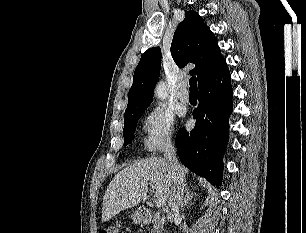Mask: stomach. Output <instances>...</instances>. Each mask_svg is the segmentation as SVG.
I'll use <instances>...</instances> for the list:
<instances>
[{"label": "stomach", "instance_id": "1", "mask_svg": "<svg viewBox=\"0 0 306 233\" xmlns=\"http://www.w3.org/2000/svg\"><path fill=\"white\" fill-rule=\"evenodd\" d=\"M131 218L134 223H140L143 220V216L139 211H135L132 213Z\"/></svg>", "mask_w": 306, "mask_h": 233}]
</instances>
